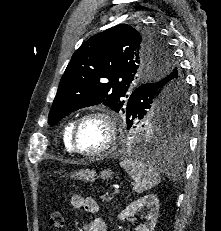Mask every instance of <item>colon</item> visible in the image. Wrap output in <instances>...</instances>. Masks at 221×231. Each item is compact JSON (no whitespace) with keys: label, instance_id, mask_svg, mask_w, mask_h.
<instances>
[{"label":"colon","instance_id":"1","mask_svg":"<svg viewBox=\"0 0 221 231\" xmlns=\"http://www.w3.org/2000/svg\"><path fill=\"white\" fill-rule=\"evenodd\" d=\"M64 226V217L61 212H53L49 218V227L51 229L59 230Z\"/></svg>","mask_w":221,"mask_h":231}]
</instances>
